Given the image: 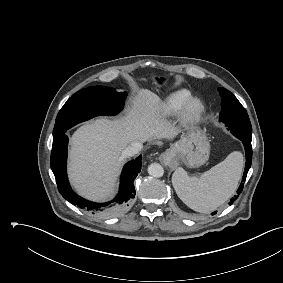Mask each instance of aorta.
Segmentation results:
<instances>
[{
  "mask_svg": "<svg viewBox=\"0 0 283 283\" xmlns=\"http://www.w3.org/2000/svg\"><path fill=\"white\" fill-rule=\"evenodd\" d=\"M148 173L149 175L153 176V177H162L164 174V169L163 167L158 164V163H152L149 165L148 167Z\"/></svg>",
  "mask_w": 283,
  "mask_h": 283,
  "instance_id": "1",
  "label": "aorta"
}]
</instances>
